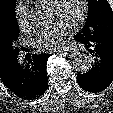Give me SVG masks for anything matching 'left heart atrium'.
I'll list each match as a JSON object with an SVG mask.
<instances>
[{
  "label": "left heart atrium",
  "mask_w": 113,
  "mask_h": 113,
  "mask_svg": "<svg viewBox=\"0 0 113 113\" xmlns=\"http://www.w3.org/2000/svg\"><path fill=\"white\" fill-rule=\"evenodd\" d=\"M72 25L65 21H58L42 29L35 37V45L43 51H55L66 45V40L72 35Z\"/></svg>",
  "instance_id": "1"
}]
</instances>
